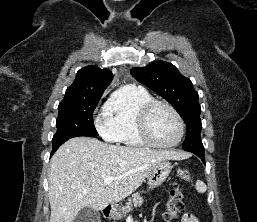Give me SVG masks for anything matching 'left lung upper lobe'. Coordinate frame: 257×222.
I'll use <instances>...</instances> for the list:
<instances>
[{
	"label": "left lung upper lobe",
	"mask_w": 257,
	"mask_h": 222,
	"mask_svg": "<svg viewBox=\"0 0 257 222\" xmlns=\"http://www.w3.org/2000/svg\"><path fill=\"white\" fill-rule=\"evenodd\" d=\"M132 76L168 101L186 123V138L183 149L189 152H204L200 133L201 108L198 93L189 78L184 77L171 63L155 61L145 67L131 69Z\"/></svg>",
	"instance_id": "1"
}]
</instances>
